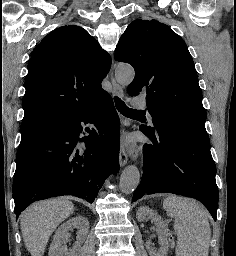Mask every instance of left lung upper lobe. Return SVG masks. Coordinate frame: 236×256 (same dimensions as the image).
<instances>
[{"instance_id": "left-lung-upper-lobe-1", "label": "left lung upper lobe", "mask_w": 236, "mask_h": 256, "mask_svg": "<svg viewBox=\"0 0 236 256\" xmlns=\"http://www.w3.org/2000/svg\"><path fill=\"white\" fill-rule=\"evenodd\" d=\"M115 59L135 69L128 94H146L153 124L165 119L207 134V115L192 57L184 40L167 25L134 20L119 40Z\"/></svg>"}]
</instances>
